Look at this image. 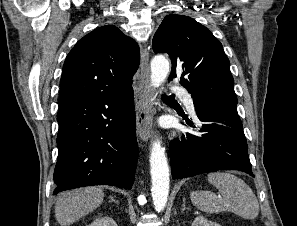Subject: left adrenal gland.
Listing matches in <instances>:
<instances>
[{"label":"left adrenal gland","instance_id":"obj_1","mask_svg":"<svg viewBox=\"0 0 297 226\" xmlns=\"http://www.w3.org/2000/svg\"><path fill=\"white\" fill-rule=\"evenodd\" d=\"M185 203H186V198H183V206H182L181 211H184V210L188 209V208L186 207Z\"/></svg>","mask_w":297,"mask_h":226}]
</instances>
